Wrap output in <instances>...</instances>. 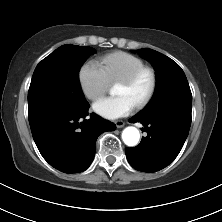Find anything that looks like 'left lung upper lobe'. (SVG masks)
Listing matches in <instances>:
<instances>
[{
  "instance_id": "left-lung-upper-lobe-1",
  "label": "left lung upper lobe",
  "mask_w": 222,
  "mask_h": 222,
  "mask_svg": "<svg viewBox=\"0 0 222 222\" xmlns=\"http://www.w3.org/2000/svg\"><path fill=\"white\" fill-rule=\"evenodd\" d=\"M139 52L153 65L157 79L154 96L142 111L152 110L166 103L192 107V94L181 67L169 57L155 50L144 48Z\"/></svg>"
}]
</instances>
